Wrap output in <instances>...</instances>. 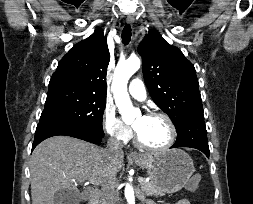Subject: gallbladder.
I'll return each instance as SVG.
<instances>
[{"label": "gallbladder", "mask_w": 253, "mask_h": 204, "mask_svg": "<svg viewBox=\"0 0 253 204\" xmlns=\"http://www.w3.org/2000/svg\"><path fill=\"white\" fill-rule=\"evenodd\" d=\"M88 191L79 193L75 190L61 189L54 195V204H79L81 200L88 199Z\"/></svg>", "instance_id": "bac80fb5"}]
</instances>
